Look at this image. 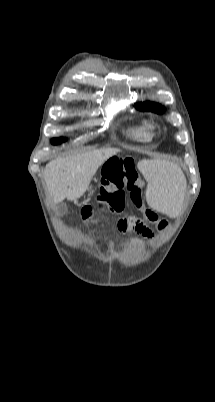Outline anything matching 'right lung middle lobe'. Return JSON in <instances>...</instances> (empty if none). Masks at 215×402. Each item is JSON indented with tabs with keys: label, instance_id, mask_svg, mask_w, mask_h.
Wrapping results in <instances>:
<instances>
[{
	"label": "right lung middle lobe",
	"instance_id": "obj_1",
	"mask_svg": "<svg viewBox=\"0 0 215 402\" xmlns=\"http://www.w3.org/2000/svg\"><path fill=\"white\" fill-rule=\"evenodd\" d=\"M65 139L64 138H54L52 140L53 144H60L61 142H63Z\"/></svg>",
	"mask_w": 215,
	"mask_h": 402
}]
</instances>
